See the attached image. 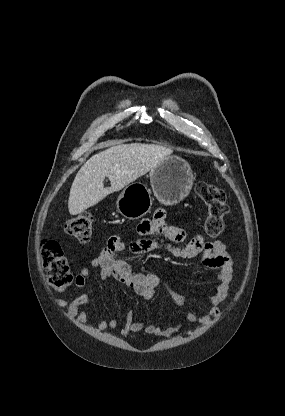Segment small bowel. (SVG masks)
Wrapping results in <instances>:
<instances>
[{
	"label": "small bowel",
	"mask_w": 285,
	"mask_h": 416,
	"mask_svg": "<svg viewBox=\"0 0 285 416\" xmlns=\"http://www.w3.org/2000/svg\"><path fill=\"white\" fill-rule=\"evenodd\" d=\"M166 216L167 214L163 209H157L152 218L144 219L139 224L138 233L141 238L129 243H125L118 236L112 237L101 253L91 261V267L99 270L102 281L112 278L144 300L152 299L156 289L160 285H164L169 290L175 304L183 306L187 301L184 295L173 290L168 283L162 281L155 274L134 272L131 266L125 260L118 258L117 255L126 248L136 255H145L155 251H166L174 257L182 259H190L201 255L202 264L205 267L218 271V285L215 292L208 297V302L211 305L209 312L201 317L193 312H188L186 321L207 325L220 315V306L227 298L234 271L232 258L225 242L221 240L208 242L200 235L191 238L184 246H178V243L188 239V233L181 227L168 224ZM89 275L90 268L83 267L75 277L76 287H84ZM89 302L90 295L87 293L73 299L58 300V304L64 308L67 317L80 325L87 322L88 315L83 306ZM117 327L118 321L115 318L101 319L97 325L99 331H109ZM180 327V323L163 328L156 324L136 321L132 311H128L120 333L124 337L139 332L169 337L175 334Z\"/></svg>",
	"instance_id": "obj_1"
}]
</instances>
